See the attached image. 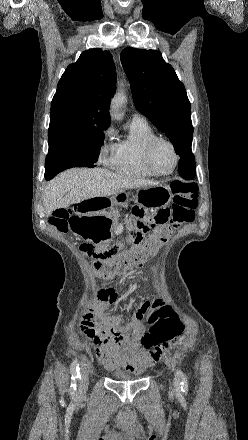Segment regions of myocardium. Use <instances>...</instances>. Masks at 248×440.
<instances>
[{"label": "myocardium", "instance_id": "1", "mask_svg": "<svg viewBox=\"0 0 248 440\" xmlns=\"http://www.w3.org/2000/svg\"><path fill=\"white\" fill-rule=\"evenodd\" d=\"M160 143H164V144L168 145L171 148L173 155H174V165L169 171H166V172H161V171L157 170L154 167L153 162H152V154H153L154 148ZM142 160H143V163H144V166L146 167V169L150 173H152L153 175L167 176V175L172 174L176 170V168L178 167V164L180 161V156H179V153L177 151L176 146L174 145V143L172 141H170L166 138L156 136V137L150 139L145 144V146L143 148V153H142Z\"/></svg>", "mask_w": 248, "mask_h": 440}]
</instances>
